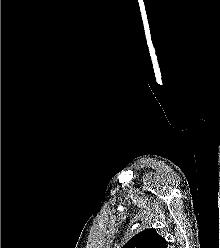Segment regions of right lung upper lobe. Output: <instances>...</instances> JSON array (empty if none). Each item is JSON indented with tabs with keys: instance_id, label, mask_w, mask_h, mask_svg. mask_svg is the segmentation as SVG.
<instances>
[{
	"instance_id": "obj_1",
	"label": "right lung upper lobe",
	"mask_w": 220,
	"mask_h": 248,
	"mask_svg": "<svg viewBox=\"0 0 220 248\" xmlns=\"http://www.w3.org/2000/svg\"><path fill=\"white\" fill-rule=\"evenodd\" d=\"M122 248H167V245L155 230L146 229L135 235Z\"/></svg>"
}]
</instances>
